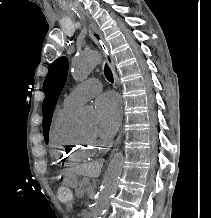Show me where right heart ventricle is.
<instances>
[{
	"instance_id": "right-heart-ventricle-1",
	"label": "right heart ventricle",
	"mask_w": 211,
	"mask_h": 218,
	"mask_svg": "<svg viewBox=\"0 0 211 218\" xmlns=\"http://www.w3.org/2000/svg\"><path fill=\"white\" fill-rule=\"evenodd\" d=\"M77 108L62 107L56 114L52 125L53 139L59 144H52L55 165H80L103 152V144H88L81 132L75 127L74 119Z\"/></svg>"
}]
</instances>
